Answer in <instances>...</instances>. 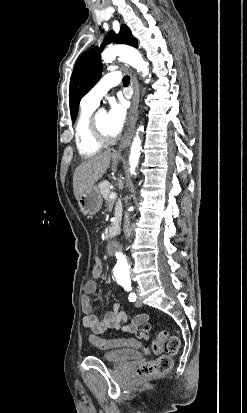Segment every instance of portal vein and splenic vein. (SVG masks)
I'll return each mask as SVG.
<instances>
[{
	"label": "portal vein and splenic vein",
	"instance_id": "1",
	"mask_svg": "<svg viewBox=\"0 0 247 413\" xmlns=\"http://www.w3.org/2000/svg\"><path fill=\"white\" fill-rule=\"evenodd\" d=\"M110 198H117V192H110Z\"/></svg>",
	"mask_w": 247,
	"mask_h": 413
}]
</instances>
